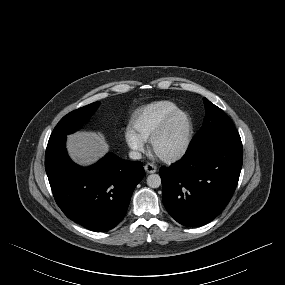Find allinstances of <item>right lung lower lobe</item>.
<instances>
[{"label":"right lung lower lobe","instance_id":"right-lung-lower-lobe-1","mask_svg":"<svg viewBox=\"0 0 285 285\" xmlns=\"http://www.w3.org/2000/svg\"><path fill=\"white\" fill-rule=\"evenodd\" d=\"M66 135L50 137L45 169L56 203L74 222L105 232L124 218L131 195L144 177L141 162L107 154L91 167L76 165L69 158Z\"/></svg>","mask_w":285,"mask_h":285}]
</instances>
